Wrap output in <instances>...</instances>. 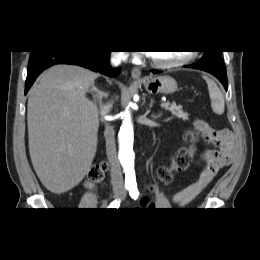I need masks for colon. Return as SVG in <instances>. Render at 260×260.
<instances>
[{"instance_id":"colon-1","label":"colon","mask_w":260,"mask_h":260,"mask_svg":"<svg viewBox=\"0 0 260 260\" xmlns=\"http://www.w3.org/2000/svg\"><path fill=\"white\" fill-rule=\"evenodd\" d=\"M198 138L197 131H189L185 135V139L191 143L188 148H183L172 159L170 165L161 166L157 169L156 179L157 182L150 186V190L154 191L157 187V184H169L175 172L185 169L190 163L192 156L195 152L194 142ZM107 169L106 163H100L94 166L89 172V185L94 186L100 184L104 180L105 172Z\"/></svg>"}]
</instances>
